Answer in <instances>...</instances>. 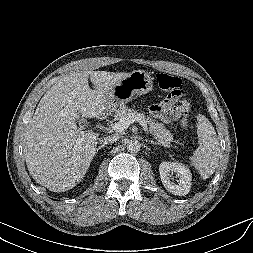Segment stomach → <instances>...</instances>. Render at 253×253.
I'll return each mask as SVG.
<instances>
[{
  "label": "stomach",
  "instance_id": "0dacf381",
  "mask_svg": "<svg viewBox=\"0 0 253 253\" xmlns=\"http://www.w3.org/2000/svg\"><path fill=\"white\" fill-rule=\"evenodd\" d=\"M151 76L144 70H134L111 89L107 99V110L116 109L130 102L134 96L143 95L152 90Z\"/></svg>",
  "mask_w": 253,
  "mask_h": 253
}]
</instances>
